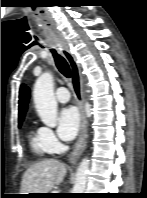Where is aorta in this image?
Instances as JSON below:
<instances>
[{
    "instance_id": "762f6f07",
    "label": "aorta",
    "mask_w": 147,
    "mask_h": 198,
    "mask_svg": "<svg viewBox=\"0 0 147 198\" xmlns=\"http://www.w3.org/2000/svg\"><path fill=\"white\" fill-rule=\"evenodd\" d=\"M33 99L36 111L48 127L57 126V102L54 97V78L51 73H43L34 84ZM90 160L84 158L77 170L72 193H84Z\"/></svg>"
}]
</instances>
